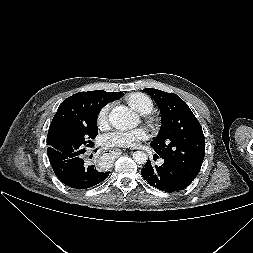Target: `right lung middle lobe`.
I'll use <instances>...</instances> for the list:
<instances>
[{"instance_id":"right-lung-middle-lobe-1","label":"right lung middle lobe","mask_w":253,"mask_h":253,"mask_svg":"<svg viewBox=\"0 0 253 253\" xmlns=\"http://www.w3.org/2000/svg\"><path fill=\"white\" fill-rule=\"evenodd\" d=\"M99 110L90 114L86 124L73 128H65L58 132L47 149L49 158L68 156L73 153L85 152V145L98 133L97 116Z\"/></svg>"}]
</instances>
